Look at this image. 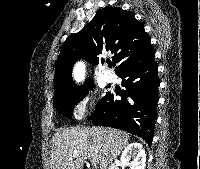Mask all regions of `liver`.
I'll list each match as a JSON object with an SVG mask.
<instances>
[{"mask_svg":"<svg viewBox=\"0 0 200 169\" xmlns=\"http://www.w3.org/2000/svg\"><path fill=\"white\" fill-rule=\"evenodd\" d=\"M129 135L104 127L68 128L52 138L50 169H83L89 158L100 169H107L127 146Z\"/></svg>","mask_w":200,"mask_h":169,"instance_id":"6515ba94","label":"liver"}]
</instances>
